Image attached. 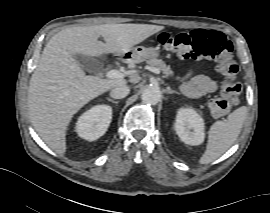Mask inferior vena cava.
Segmentation results:
<instances>
[{"mask_svg":"<svg viewBox=\"0 0 270 213\" xmlns=\"http://www.w3.org/2000/svg\"><path fill=\"white\" fill-rule=\"evenodd\" d=\"M129 92L130 89L127 85H119L111 90L110 95L112 98L121 99L125 98L129 94Z\"/></svg>","mask_w":270,"mask_h":213,"instance_id":"obj_1","label":"inferior vena cava"}]
</instances>
